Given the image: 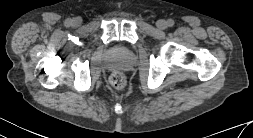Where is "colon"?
Wrapping results in <instances>:
<instances>
[{
    "label": "colon",
    "mask_w": 253,
    "mask_h": 138,
    "mask_svg": "<svg viewBox=\"0 0 253 138\" xmlns=\"http://www.w3.org/2000/svg\"><path fill=\"white\" fill-rule=\"evenodd\" d=\"M110 83L114 88L122 89L126 84V78L122 73L115 72L110 77Z\"/></svg>",
    "instance_id": "1"
}]
</instances>
